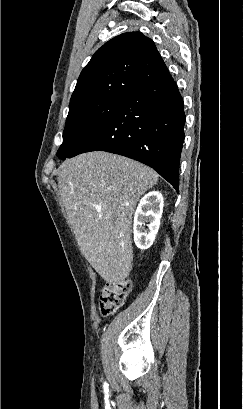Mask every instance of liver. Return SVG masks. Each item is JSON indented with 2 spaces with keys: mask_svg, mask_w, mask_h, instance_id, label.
<instances>
[{
  "mask_svg": "<svg viewBox=\"0 0 243 409\" xmlns=\"http://www.w3.org/2000/svg\"><path fill=\"white\" fill-rule=\"evenodd\" d=\"M157 181L150 167L104 151L61 164L58 185L69 222L82 254L105 281H122L131 272L133 212Z\"/></svg>",
  "mask_w": 243,
  "mask_h": 409,
  "instance_id": "6515ba94",
  "label": "liver"
}]
</instances>
